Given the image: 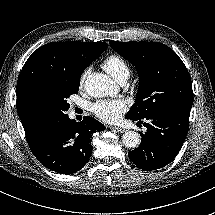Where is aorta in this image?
<instances>
[{"label": "aorta", "mask_w": 215, "mask_h": 215, "mask_svg": "<svg viewBox=\"0 0 215 215\" xmlns=\"http://www.w3.org/2000/svg\"><path fill=\"white\" fill-rule=\"evenodd\" d=\"M111 82L108 76L102 73H93L84 82L86 93L94 98L104 97L111 91ZM141 137L136 131H126L122 136V144L130 149L139 147Z\"/></svg>", "instance_id": "aorta-1"}]
</instances>
